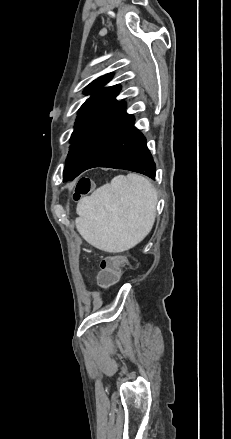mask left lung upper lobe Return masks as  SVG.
I'll return each mask as SVG.
<instances>
[{
	"label": "left lung upper lobe",
	"mask_w": 231,
	"mask_h": 439,
	"mask_svg": "<svg viewBox=\"0 0 231 439\" xmlns=\"http://www.w3.org/2000/svg\"><path fill=\"white\" fill-rule=\"evenodd\" d=\"M112 74L91 82L84 94H91L80 107L70 139V151L63 171V180L77 177L94 159L102 144L127 116L126 103L115 98L120 86H103Z\"/></svg>",
	"instance_id": "5c2ea615"
}]
</instances>
